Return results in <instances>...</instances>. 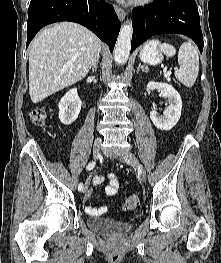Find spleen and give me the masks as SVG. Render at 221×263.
<instances>
[{"label": "spleen", "instance_id": "obj_1", "mask_svg": "<svg viewBox=\"0 0 221 263\" xmlns=\"http://www.w3.org/2000/svg\"><path fill=\"white\" fill-rule=\"evenodd\" d=\"M160 50L167 57H173L176 49L167 43L160 45ZM180 68L175 71V77L186 87H192L197 79L199 71V54L197 48L191 42H184L178 51Z\"/></svg>", "mask_w": 221, "mask_h": 263}]
</instances>
